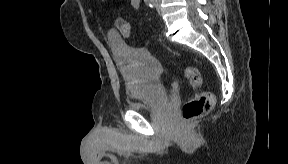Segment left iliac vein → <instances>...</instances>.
<instances>
[{
    "instance_id": "1",
    "label": "left iliac vein",
    "mask_w": 288,
    "mask_h": 164,
    "mask_svg": "<svg viewBox=\"0 0 288 164\" xmlns=\"http://www.w3.org/2000/svg\"><path fill=\"white\" fill-rule=\"evenodd\" d=\"M157 10H158V12H160V8L157 6Z\"/></svg>"
}]
</instances>
